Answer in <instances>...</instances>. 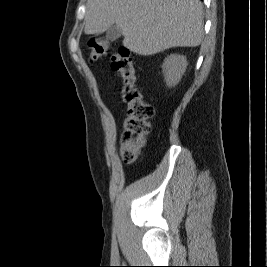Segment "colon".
Listing matches in <instances>:
<instances>
[{
    "mask_svg": "<svg viewBox=\"0 0 267 267\" xmlns=\"http://www.w3.org/2000/svg\"><path fill=\"white\" fill-rule=\"evenodd\" d=\"M89 47L91 60L97 61L108 53L110 43L102 38H92ZM111 66L122 82L121 96L125 104L120 153L125 162L133 163L137 160L150 130L154 108L143 100L138 89L136 68L128 48H117L112 56Z\"/></svg>",
    "mask_w": 267,
    "mask_h": 267,
    "instance_id": "obj_1",
    "label": "colon"
}]
</instances>
